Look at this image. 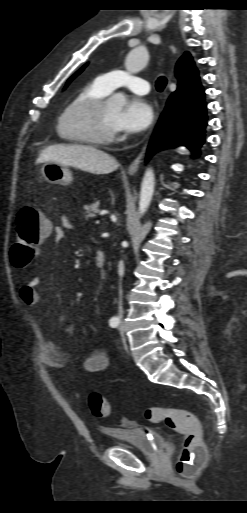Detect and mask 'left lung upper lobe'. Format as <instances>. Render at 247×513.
Returning a JSON list of instances; mask_svg holds the SVG:
<instances>
[{
	"label": "left lung upper lobe",
	"instance_id": "obj_1",
	"mask_svg": "<svg viewBox=\"0 0 247 513\" xmlns=\"http://www.w3.org/2000/svg\"><path fill=\"white\" fill-rule=\"evenodd\" d=\"M85 66H86V65H85ZM85 66H84V67H85ZM84 67H82V68H81V69H80V70H79L75 75H73V76L68 80L67 84H69V83H70V81H71V80H73V79H74V78H75V77H76V76H77V75H78V74H79V73L84 69Z\"/></svg>",
	"mask_w": 247,
	"mask_h": 513
}]
</instances>
